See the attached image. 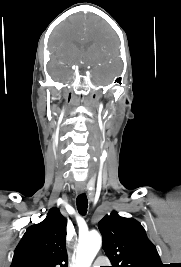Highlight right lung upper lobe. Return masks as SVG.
<instances>
[{"mask_svg":"<svg viewBox=\"0 0 181 267\" xmlns=\"http://www.w3.org/2000/svg\"><path fill=\"white\" fill-rule=\"evenodd\" d=\"M66 219L57 208L29 227L14 251L10 267H67Z\"/></svg>","mask_w":181,"mask_h":267,"instance_id":"1","label":"right lung upper lobe"}]
</instances>
